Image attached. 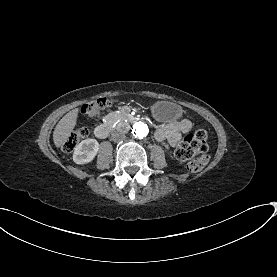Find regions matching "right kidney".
Masks as SVG:
<instances>
[{"label": "right kidney", "instance_id": "obj_1", "mask_svg": "<svg viewBox=\"0 0 277 277\" xmlns=\"http://www.w3.org/2000/svg\"><path fill=\"white\" fill-rule=\"evenodd\" d=\"M99 143L96 139H85L76 145L73 153V161L76 164L91 162L97 155Z\"/></svg>", "mask_w": 277, "mask_h": 277}]
</instances>
